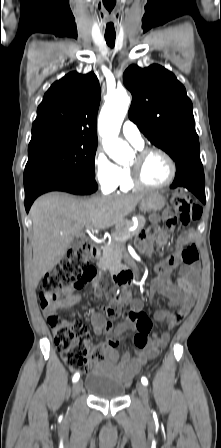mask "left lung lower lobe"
Listing matches in <instances>:
<instances>
[{
	"label": "left lung lower lobe",
	"instance_id": "1",
	"mask_svg": "<svg viewBox=\"0 0 221 448\" xmlns=\"http://www.w3.org/2000/svg\"><path fill=\"white\" fill-rule=\"evenodd\" d=\"M185 187L194 193L203 203L205 199V178L202 163H192L177 169L171 188Z\"/></svg>",
	"mask_w": 221,
	"mask_h": 448
}]
</instances>
